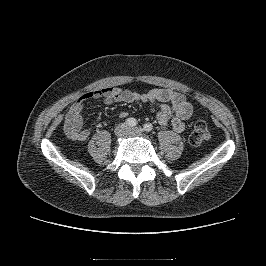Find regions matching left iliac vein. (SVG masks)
<instances>
[{
    "label": "left iliac vein",
    "mask_w": 266,
    "mask_h": 266,
    "mask_svg": "<svg viewBox=\"0 0 266 266\" xmlns=\"http://www.w3.org/2000/svg\"><path fill=\"white\" fill-rule=\"evenodd\" d=\"M127 135H143L144 134V129H142L141 127H135V128H127L126 131Z\"/></svg>",
    "instance_id": "obj_1"
}]
</instances>
